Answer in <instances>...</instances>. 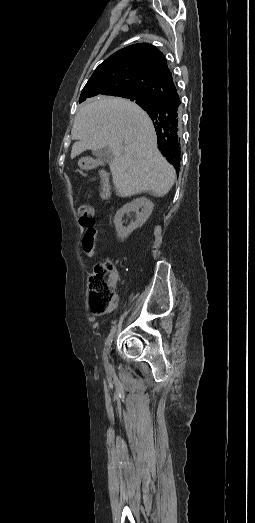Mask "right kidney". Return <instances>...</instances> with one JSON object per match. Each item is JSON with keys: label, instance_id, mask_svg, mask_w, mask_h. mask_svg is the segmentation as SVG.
Segmentation results:
<instances>
[{"label": "right kidney", "instance_id": "ca27d5eb", "mask_svg": "<svg viewBox=\"0 0 255 523\" xmlns=\"http://www.w3.org/2000/svg\"><path fill=\"white\" fill-rule=\"evenodd\" d=\"M139 208H143L142 212H138ZM152 210L153 204L150 202V200H148V198H136V200H133V202H130V204H125L123 208H120V210L116 212V216L114 218L115 228L118 232L120 240H125V238L130 236L133 230L143 226L146 220H148L149 216H151ZM129 212H136V220L135 222H131L130 226L125 228V226L122 224V218L124 214H129Z\"/></svg>", "mask_w": 255, "mask_h": 523}]
</instances>
